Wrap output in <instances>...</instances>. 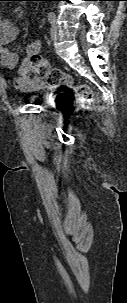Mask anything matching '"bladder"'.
Segmentation results:
<instances>
[{"instance_id": "1", "label": "bladder", "mask_w": 127, "mask_h": 303, "mask_svg": "<svg viewBox=\"0 0 127 303\" xmlns=\"http://www.w3.org/2000/svg\"><path fill=\"white\" fill-rule=\"evenodd\" d=\"M29 98L34 99V98H36V96L35 95H30Z\"/></svg>"}]
</instances>
